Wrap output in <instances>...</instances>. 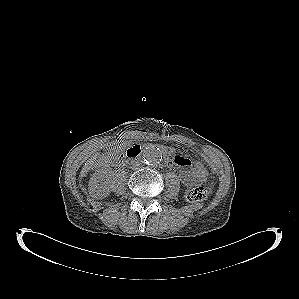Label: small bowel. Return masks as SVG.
Listing matches in <instances>:
<instances>
[{"label": "small bowel", "instance_id": "obj_1", "mask_svg": "<svg viewBox=\"0 0 299 299\" xmlns=\"http://www.w3.org/2000/svg\"><path fill=\"white\" fill-rule=\"evenodd\" d=\"M172 164L178 166L180 177L186 186H192L196 183L193 177L190 161L187 158L177 155L172 160Z\"/></svg>", "mask_w": 299, "mask_h": 299}]
</instances>
